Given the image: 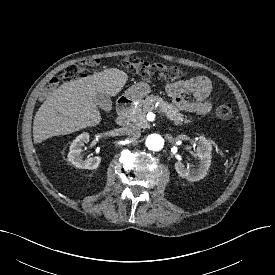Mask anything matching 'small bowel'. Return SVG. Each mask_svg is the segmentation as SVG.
I'll return each mask as SVG.
<instances>
[{"label": "small bowel", "instance_id": "small-bowel-1", "mask_svg": "<svg viewBox=\"0 0 275 275\" xmlns=\"http://www.w3.org/2000/svg\"><path fill=\"white\" fill-rule=\"evenodd\" d=\"M166 92L177 108L196 114H207L212 107V87L205 76H196L188 80L169 83ZM192 94L194 100H187L184 95Z\"/></svg>", "mask_w": 275, "mask_h": 275}]
</instances>
